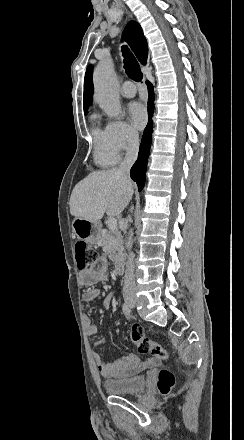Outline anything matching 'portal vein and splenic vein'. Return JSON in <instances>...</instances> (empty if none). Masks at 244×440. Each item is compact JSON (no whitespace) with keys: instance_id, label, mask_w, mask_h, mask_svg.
<instances>
[{"instance_id":"1","label":"portal vein and splenic vein","mask_w":244,"mask_h":440,"mask_svg":"<svg viewBox=\"0 0 244 440\" xmlns=\"http://www.w3.org/2000/svg\"><path fill=\"white\" fill-rule=\"evenodd\" d=\"M108 228H109V230H117L116 218H109Z\"/></svg>"}]
</instances>
